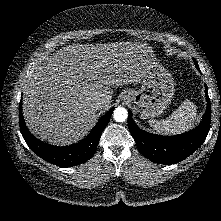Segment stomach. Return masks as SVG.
Segmentation results:
<instances>
[{"label": "stomach", "mask_w": 221, "mask_h": 221, "mask_svg": "<svg viewBox=\"0 0 221 221\" xmlns=\"http://www.w3.org/2000/svg\"><path fill=\"white\" fill-rule=\"evenodd\" d=\"M174 93L172 75L155 62L146 68L140 88L124 91L123 98L134 105L142 119H148L164 113Z\"/></svg>", "instance_id": "obj_1"}]
</instances>
